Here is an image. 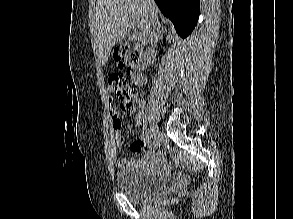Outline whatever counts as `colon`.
Segmentation results:
<instances>
[{"label": "colon", "mask_w": 293, "mask_h": 219, "mask_svg": "<svg viewBox=\"0 0 293 219\" xmlns=\"http://www.w3.org/2000/svg\"><path fill=\"white\" fill-rule=\"evenodd\" d=\"M113 59L121 69L130 73L138 61V55L128 47L122 46L115 49ZM108 85L119 103L121 111L126 115H131L134 112L136 92L126 75L123 73L111 74L108 79Z\"/></svg>", "instance_id": "obj_1"}]
</instances>
